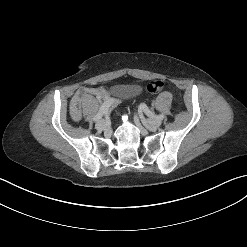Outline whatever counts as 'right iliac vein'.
<instances>
[{
    "label": "right iliac vein",
    "instance_id": "1",
    "mask_svg": "<svg viewBox=\"0 0 247 247\" xmlns=\"http://www.w3.org/2000/svg\"><path fill=\"white\" fill-rule=\"evenodd\" d=\"M107 128H108V124H107V121H105V120H100L96 124V129L99 130V131L106 130Z\"/></svg>",
    "mask_w": 247,
    "mask_h": 247
}]
</instances>
